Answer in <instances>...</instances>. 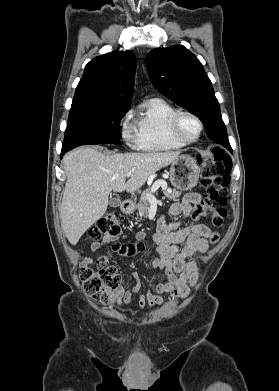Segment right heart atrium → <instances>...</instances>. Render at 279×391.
I'll list each match as a JSON object with an SVG mask.
<instances>
[{"label": "right heart atrium", "instance_id": "right-heart-atrium-1", "mask_svg": "<svg viewBox=\"0 0 279 391\" xmlns=\"http://www.w3.org/2000/svg\"><path fill=\"white\" fill-rule=\"evenodd\" d=\"M120 131L121 136L125 143L135 148L137 147V137L134 132V121H133V111L131 109L127 110L120 119Z\"/></svg>", "mask_w": 279, "mask_h": 391}]
</instances>
